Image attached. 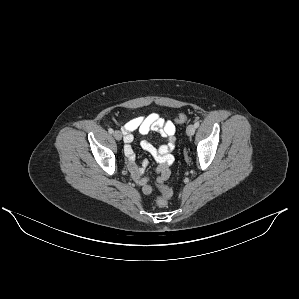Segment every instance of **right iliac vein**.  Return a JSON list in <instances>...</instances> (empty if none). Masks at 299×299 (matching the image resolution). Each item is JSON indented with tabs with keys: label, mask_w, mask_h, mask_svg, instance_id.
Returning a JSON list of instances; mask_svg holds the SVG:
<instances>
[{
	"label": "right iliac vein",
	"mask_w": 299,
	"mask_h": 299,
	"mask_svg": "<svg viewBox=\"0 0 299 299\" xmlns=\"http://www.w3.org/2000/svg\"><path fill=\"white\" fill-rule=\"evenodd\" d=\"M116 140L120 141L122 139V134L119 130L114 131L113 133Z\"/></svg>",
	"instance_id": "right-iliac-vein-1"
}]
</instances>
